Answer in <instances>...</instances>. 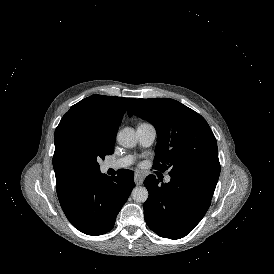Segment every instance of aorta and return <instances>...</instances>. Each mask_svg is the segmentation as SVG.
<instances>
[{
  "label": "aorta",
  "instance_id": "1",
  "mask_svg": "<svg viewBox=\"0 0 274 274\" xmlns=\"http://www.w3.org/2000/svg\"><path fill=\"white\" fill-rule=\"evenodd\" d=\"M117 139L120 145L123 147H133L136 145L137 136L134 129L126 127L122 129L118 135ZM132 198L135 202H145L148 199V190L145 187H135L132 190Z\"/></svg>",
  "mask_w": 274,
  "mask_h": 274
}]
</instances>
